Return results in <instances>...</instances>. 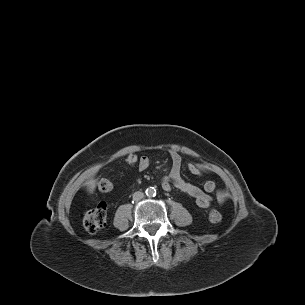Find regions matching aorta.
<instances>
[{"label":"aorta","instance_id":"1","mask_svg":"<svg viewBox=\"0 0 305 305\" xmlns=\"http://www.w3.org/2000/svg\"><path fill=\"white\" fill-rule=\"evenodd\" d=\"M146 195L151 197L156 195V190L153 187H149L146 189Z\"/></svg>","mask_w":305,"mask_h":305}]
</instances>
